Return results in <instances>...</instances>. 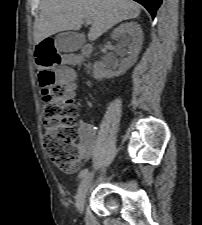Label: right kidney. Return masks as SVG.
<instances>
[{"label":"right kidney","mask_w":202,"mask_h":225,"mask_svg":"<svg viewBox=\"0 0 202 225\" xmlns=\"http://www.w3.org/2000/svg\"><path fill=\"white\" fill-rule=\"evenodd\" d=\"M111 37L113 39L121 38V55H127V57L122 59L118 71L106 70L101 62H95L93 66L95 79L113 78L124 74L134 65L141 50L143 32L140 25L136 22H127L119 25L112 32Z\"/></svg>","instance_id":"obj_1"}]
</instances>
